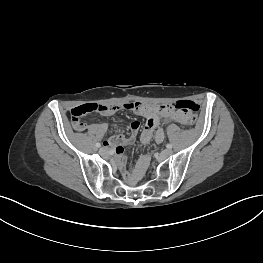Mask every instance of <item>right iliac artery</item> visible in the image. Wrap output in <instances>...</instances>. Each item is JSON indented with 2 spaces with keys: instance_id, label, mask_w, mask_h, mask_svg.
Wrapping results in <instances>:
<instances>
[{
  "instance_id": "82829eb1",
  "label": "right iliac artery",
  "mask_w": 263,
  "mask_h": 263,
  "mask_svg": "<svg viewBox=\"0 0 263 263\" xmlns=\"http://www.w3.org/2000/svg\"><path fill=\"white\" fill-rule=\"evenodd\" d=\"M96 146H97L98 148H100V147H101V144H100V143H97Z\"/></svg>"
}]
</instances>
